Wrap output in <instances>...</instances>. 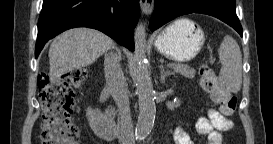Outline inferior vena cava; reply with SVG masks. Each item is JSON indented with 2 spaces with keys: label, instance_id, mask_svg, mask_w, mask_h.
<instances>
[{
  "label": "inferior vena cava",
  "instance_id": "obj_1",
  "mask_svg": "<svg viewBox=\"0 0 273 144\" xmlns=\"http://www.w3.org/2000/svg\"><path fill=\"white\" fill-rule=\"evenodd\" d=\"M104 73L106 84L112 92L119 113V131L122 144H134V132L129 107L125 78L120 66V54L111 52L105 56Z\"/></svg>",
  "mask_w": 273,
  "mask_h": 144
}]
</instances>
